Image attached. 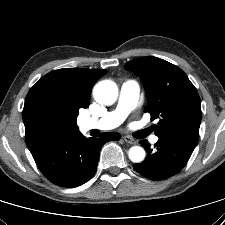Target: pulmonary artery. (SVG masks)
<instances>
[{
    "mask_svg": "<svg viewBox=\"0 0 225 225\" xmlns=\"http://www.w3.org/2000/svg\"><path fill=\"white\" fill-rule=\"evenodd\" d=\"M139 100V86L134 80L125 81L119 93L116 107L99 118H87L83 121V128L86 130L99 129L109 130L121 125L128 114L136 107ZM158 137L151 138L152 143H156Z\"/></svg>",
    "mask_w": 225,
    "mask_h": 225,
    "instance_id": "1",
    "label": "pulmonary artery"
}]
</instances>
